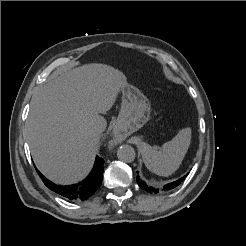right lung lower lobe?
<instances>
[{
  "mask_svg": "<svg viewBox=\"0 0 246 246\" xmlns=\"http://www.w3.org/2000/svg\"><path fill=\"white\" fill-rule=\"evenodd\" d=\"M104 160L96 157L93 170L90 175L79 184L70 186H61L49 181L45 176L39 173L44 184L52 191L73 202L83 201L92 196L102 183Z\"/></svg>",
  "mask_w": 246,
  "mask_h": 246,
  "instance_id": "obj_1",
  "label": "right lung lower lobe"
}]
</instances>
